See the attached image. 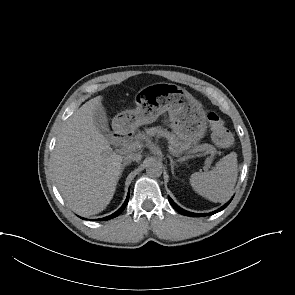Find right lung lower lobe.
Wrapping results in <instances>:
<instances>
[{
	"label": "right lung lower lobe",
	"instance_id": "98d812e1",
	"mask_svg": "<svg viewBox=\"0 0 295 295\" xmlns=\"http://www.w3.org/2000/svg\"><path fill=\"white\" fill-rule=\"evenodd\" d=\"M128 201H129V195L127 196L126 201L124 202V204L121 206V208L119 210H117L115 213H113V214H111V215H109L107 217H104V218H101V219H98V220H101V221L102 220H109V219H112V218L118 216L125 209Z\"/></svg>",
	"mask_w": 295,
	"mask_h": 295
}]
</instances>
